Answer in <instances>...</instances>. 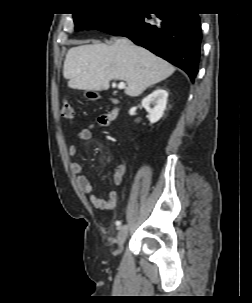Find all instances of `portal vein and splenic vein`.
Here are the masks:
<instances>
[{
    "instance_id": "portal-vein-and-splenic-vein-1",
    "label": "portal vein and splenic vein",
    "mask_w": 252,
    "mask_h": 303,
    "mask_svg": "<svg viewBox=\"0 0 252 303\" xmlns=\"http://www.w3.org/2000/svg\"><path fill=\"white\" fill-rule=\"evenodd\" d=\"M113 88H118V89H124L126 87V84L124 82H120L119 84L112 83Z\"/></svg>"
}]
</instances>
